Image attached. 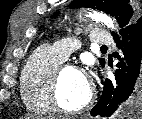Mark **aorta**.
<instances>
[{
	"mask_svg": "<svg viewBox=\"0 0 142 119\" xmlns=\"http://www.w3.org/2000/svg\"><path fill=\"white\" fill-rule=\"evenodd\" d=\"M88 17L95 20L96 22L103 23L104 25L108 26L112 30L116 29L112 19L104 13H100V12L89 13Z\"/></svg>",
	"mask_w": 142,
	"mask_h": 119,
	"instance_id": "aorta-1",
	"label": "aorta"
}]
</instances>
